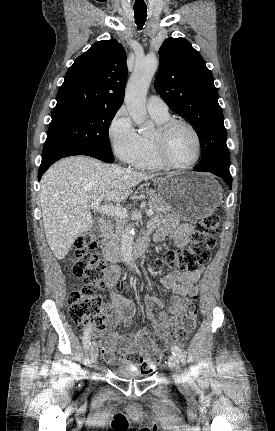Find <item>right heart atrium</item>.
<instances>
[{"mask_svg":"<svg viewBox=\"0 0 275 431\" xmlns=\"http://www.w3.org/2000/svg\"><path fill=\"white\" fill-rule=\"evenodd\" d=\"M108 138L116 157L126 164H134L142 154V136L124 109L118 110L110 121Z\"/></svg>","mask_w":275,"mask_h":431,"instance_id":"right-heart-atrium-1","label":"right heart atrium"}]
</instances>
